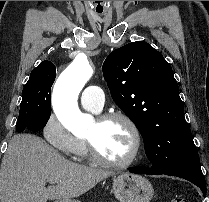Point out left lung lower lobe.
I'll use <instances>...</instances> for the list:
<instances>
[{
	"label": "left lung lower lobe",
	"mask_w": 209,
	"mask_h": 202,
	"mask_svg": "<svg viewBox=\"0 0 209 202\" xmlns=\"http://www.w3.org/2000/svg\"><path fill=\"white\" fill-rule=\"evenodd\" d=\"M130 172L138 174H148V175H170L184 178L196 186H198L204 197L206 196V182L204 175L201 171L200 159L197 150L192 151L184 159H182L177 165L168 170H157L147 167H135L130 168Z\"/></svg>",
	"instance_id": "1"
}]
</instances>
